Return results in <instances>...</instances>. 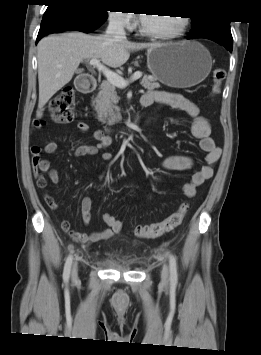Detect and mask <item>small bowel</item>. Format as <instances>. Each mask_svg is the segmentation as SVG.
Returning <instances> with one entry per match:
<instances>
[{"mask_svg":"<svg viewBox=\"0 0 261 355\" xmlns=\"http://www.w3.org/2000/svg\"><path fill=\"white\" fill-rule=\"evenodd\" d=\"M153 104L182 110L193 119L192 134L199 140L200 149L205 153L204 165L194 170V161L192 157L188 155H170L164 158L161 163L162 167L169 171L182 172L193 170L190 181L186 182L182 187L184 195L188 198H192L195 196L196 188L213 176V167L221 155V150L215 145L211 138L209 121L200 114L198 106L193 101L180 94L149 90L142 96L141 105L148 107ZM41 127L40 121L36 120L32 125V130H37ZM77 127L83 133L89 130L88 124L83 121L78 122ZM93 138L96 141L95 144L78 146L74 151V155L76 157L98 155L112 143V138L106 135L102 130H95L93 132ZM57 149L58 143L56 141L48 142L44 147L32 145L30 148L32 154V172L37 185L42 189L46 187L48 182L52 184L59 182L60 177L58 172L51 168V162L48 159L41 156L43 151L46 154H54ZM101 157L106 161L111 159L109 153H101ZM42 173H47V177ZM148 199H151V195L148 196ZM45 201L51 209L58 208V204L50 195L45 194ZM91 207V199L88 196L83 197L80 202V210L82 222L85 225L91 222ZM103 221L108 226L107 229L90 233L75 231L67 220L61 222V227L73 240L84 244H94L119 233L123 228V223L112 214L105 213L103 215Z\"/></svg>","mask_w":261,"mask_h":355,"instance_id":"c3829d8e","label":"small bowel"}]
</instances>
